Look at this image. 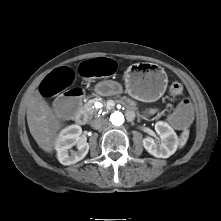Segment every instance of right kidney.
Returning a JSON list of instances; mask_svg holds the SVG:
<instances>
[{
	"label": "right kidney",
	"instance_id": "obj_1",
	"mask_svg": "<svg viewBox=\"0 0 221 221\" xmlns=\"http://www.w3.org/2000/svg\"><path fill=\"white\" fill-rule=\"evenodd\" d=\"M81 133L82 129L79 125H70L60 132L55 148L61 164H75L87 155L89 144L81 138ZM74 145L77 146V151L70 150Z\"/></svg>",
	"mask_w": 221,
	"mask_h": 221
}]
</instances>
